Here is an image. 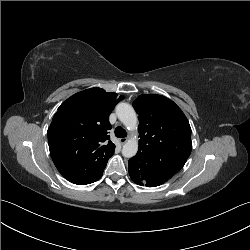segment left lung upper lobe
Instances as JSON below:
<instances>
[{"label": "left lung upper lobe", "instance_id": "obj_1", "mask_svg": "<svg viewBox=\"0 0 250 250\" xmlns=\"http://www.w3.org/2000/svg\"><path fill=\"white\" fill-rule=\"evenodd\" d=\"M139 115V149L157 165L179 171L192 150L191 127L182 110L157 94L140 95L133 102Z\"/></svg>", "mask_w": 250, "mask_h": 250}]
</instances>
